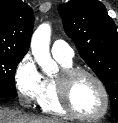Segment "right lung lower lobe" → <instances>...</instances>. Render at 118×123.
I'll return each instance as SVG.
<instances>
[{
	"label": "right lung lower lobe",
	"instance_id": "1",
	"mask_svg": "<svg viewBox=\"0 0 118 123\" xmlns=\"http://www.w3.org/2000/svg\"><path fill=\"white\" fill-rule=\"evenodd\" d=\"M0 98H6V97H4V96H0Z\"/></svg>",
	"mask_w": 118,
	"mask_h": 123
}]
</instances>
